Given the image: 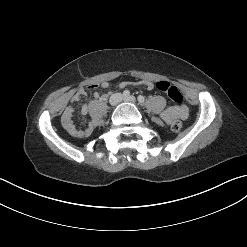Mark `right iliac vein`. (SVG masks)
Returning a JSON list of instances; mask_svg holds the SVG:
<instances>
[{"instance_id":"right-iliac-vein-1","label":"right iliac vein","mask_w":247,"mask_h":247,"mask_svg":"<svg viewBox=\"0 0 247 247\" xmlns=\"http://www.w3.org/2000/svg\"><path fill=\"white\" fill-rule=\"evenodd\" d=\"M122 99V95L120 93H115L113 94L110 99L109 102L112 106H116Z\"/></svg>"}]
</instances>
